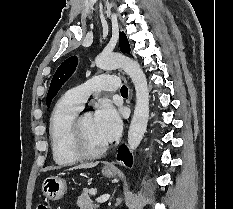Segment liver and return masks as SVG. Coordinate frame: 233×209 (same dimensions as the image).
Masks as SVG:
<instances>
[{"mask_svg": "<svg viewBox=\"0 0 233 209\" xmlns=\"http://www.w3.org/2000/svg\"><path fill=\"white\" fill-rule=\"evenodd\" d=\"M97 165V163H90V164H80L78 166H75L71 168L70 170H76V169H88V168H93Z\"/></svg>", "mask_w": 233, "mask_h": 209, "instance_id": "1", "label": "liver"}]
</instances>
